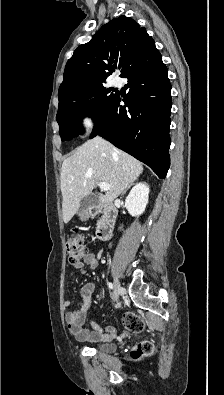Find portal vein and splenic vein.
<instances>
[{
	"label": "portal vein and splenic vein",
	"instance_id": "obj_1",
	"mask_svg": "<svg viewBox=\"0 0 224 395\" xmlns=\"http://www.w3.org/2000/svg\"><path fill=\"white\" fill-rule=\"evenodd\" d=\"M98 187L102 190V191H108L110 189V185L105 183V182H97Z\"/></svg>",
	"mask_w": 224,
	"mask_h": 395
}]
</instances>
